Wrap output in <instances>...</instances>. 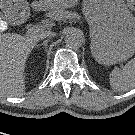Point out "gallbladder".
I'll return each mask as SVG.
<instances>
[{"mask_svg": "<svg viewBox=\"0 0 135 135\" xmlns=\"http://www.w3.org/2000/svg\"><path fill=\"white\" fill-rule=\"evenodd\" d=\"M1 6L4 7L6 5V0H0ZM0 19H2L0 14Z\"/></svg>", "mask_w": 135, "mask_h": 135, "instance_id": "bac80fb5", "label": "gallbladder"}]
</instances>
